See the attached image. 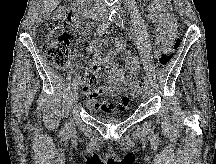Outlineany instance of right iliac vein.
<instances>
[{
	"label": "right iliac vein",
	"instance_id": "1",
	"mask_svg": "<svg viewBox=\"0 0 216 164\" xmlns=\"http://www.w3.org/2000/svg\"><path fill=\"white\" fill-rule=\"evenodd\" d=\"M77 102H78V90L77 87H74L72 91V105H75Z\"/></svg>",
	"mask_w": 216,
	"mask_h": 164
}]
</instances>
